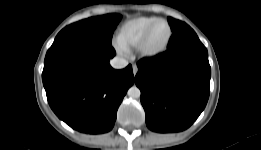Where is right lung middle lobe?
<instances>
[{
    "mask_svg": "<svg viewBox=\"0 0 261 150\" xmlns=\"http://www.w3.org/2000/svg\"><path fill=\"white\" fill-rule=\"evenodd\" d=\"M120 20L119 14H107L81 20L60 31L53 44L70 40L111 44L113 32Z\"/></svg>",
    "mask_w": 261,
    "mask_h": 150,
    "instance_id": "obj_1",
    "label": "right lung middle lobe"
}]
</instances>
